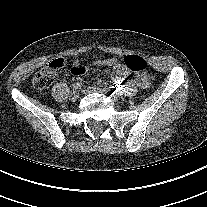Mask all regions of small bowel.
<instances>
[{
  "label": "small bowel",
  "mask_w": 207,
  "mask_h": 207,
  "mask_svg": "<svg viewBox=\"0 0 207 207\" xmlns=\"http://www.w3.org/2000/svg\"><path fill=\"white\" fill-rule=\"evenodd\" d=\"M95 63L111 66L117 74L123 76H127L130 73L129 69L126 66L122 65L117 57H108L102 60H95ZM72 73L77 77L87 76L88 70L81 66L80 61H76L72 69ZM117 82H119L120 84L125 83V81L122 79H118ZM134 84L143 89L149 88L151 84L150 77L148 75L138 76L134 80Z\"/></svg>",
  "instance_id": "small-bowel-1"
}]
</instances>
